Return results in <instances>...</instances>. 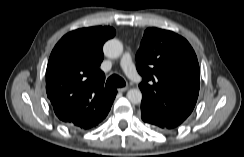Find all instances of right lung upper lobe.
I'll use <instances>...</instances> for the list:
<instances>
[{"label":"right lung upper lobe","instance_id":"obj_1","mask_svg":"<svg viewBox=\"0 0 244 157\" xmlns=\"http://www.w3.org/2000/svg\"><path fill=\"white\" fill-rule=\"evenodd\" d=\"M116 34L112 27L82 28L54 47L46 70V92L57 117L77 129L96 126L111 108L117 91L104 88L99 69L102 47Z\"/></svg>","mask_w":244,"mask_h":157}]
</instances>
